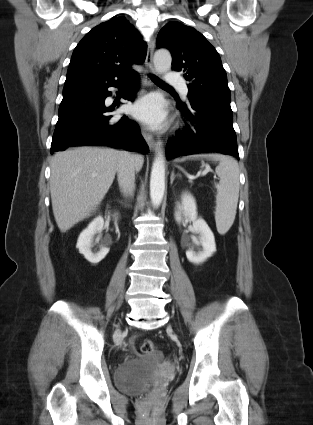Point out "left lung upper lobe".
<instances>
[{
  "label": "left lung upper lobe",
  "mask_w": 313,
  "mask_h": 425,
  "mask_svg": "<svg viewBox=\"0 0 313 425\" xmlns=\"http://www.w3.org/2000/svg\"><path fill=\"white\" fill-rule=\"evenodd\" d=\"M156 46L172 54V69L188 81V99H220L230 102L227 75L215 48L193 27L173 21L159 32Z\"/></svg>",
  "instance_id": "obj_1"
}]
</instances>
